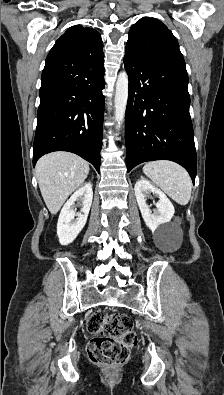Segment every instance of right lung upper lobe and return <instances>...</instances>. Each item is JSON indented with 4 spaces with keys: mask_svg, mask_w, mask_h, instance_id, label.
<instances>
[{
    "mask_svg": "<svg viewBox=\"0 0 224 395\" xmlns=\"http://www.w3.org/2000/svg\"><path fill=\"white\" fill-rule=\"evenodd\" d=\"M61 43L71 46L76 53L82 56L90 58L103 56L101 36L96 30L89 27H82V25L70 27L56 41L55 45Z\"/></svg>",
    "mask_w": 224,
    "mask_h": 395,
    "instance_id": "right-lung-upper-lobe-1",
    "label": "right lung upper lobe"
}]
</instances>
